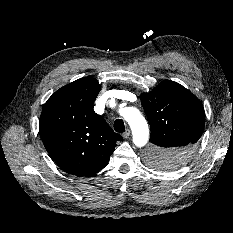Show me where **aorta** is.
I'll use <instances>...</instances> for the list:
<instances>
[{"label": "aorta", "instance_id": "aorta-1", "mask_svg": "<svg viewBox=\"0 0 233 233\" xmlns=\"http://www.w3.org/2000/svg\"><path fill=\"white\" fill-rule=\"evenodd\" d=\"M121 115L132 130L134 144L138 147L145 146L149 137L148 124L145 118L135 108H124L121 110Z\"/></svg>", "mask_w": 233, "mask_h": 233}]
</instances>
